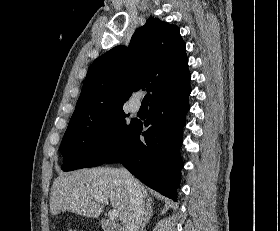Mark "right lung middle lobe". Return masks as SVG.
Segmentation results:
<instances>
[{"instance_id": "dd1d6c3e", "label": "right lung middle lobe", "mask_w": 280, "mask_h": 231, "mask_svg": "<svg viewBox=\"0 0 280 231\" xmlns=\"http://www.w3.org/2000/svg\"><path fill=\"white\" fill-rule=\"evenodd\" d=\"M124 111L107 117L69 122L61 142L64 163L71 171L104 164L117 154L120 144L134 123L127 124Z\"/></svg>"}]
</instances>
